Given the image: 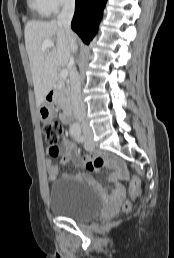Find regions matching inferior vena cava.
Instances as JSON below:
<instances>
[{
	"mask_svg": "<svg viewBox=\"0 0 174 258\" xmlns=\"http://www.w3.org/2000/svg\"><path fill=\"white\" fill-rule=\"evenodd\" d=\"M75 11V0H65L63 8L57 17V23L61 25L66 34L68 35L70 41V48L73 53L77 51L76 40L73 37V32L71 30V21ZM70 64L72 65L70 71V82H71V106L78 122L81 123L83 132H90V127L85 121L86 109L81 98V79L79 73L74 66V58L70 59Z\"/></svg>",
	"mask_w": 174,
	"mask_h": 258,
	"instance_id": "obj_1",
	"label": "inferior vena cava"
}]
</instances>
